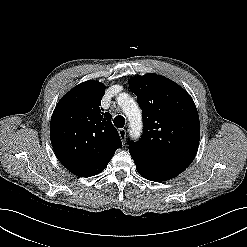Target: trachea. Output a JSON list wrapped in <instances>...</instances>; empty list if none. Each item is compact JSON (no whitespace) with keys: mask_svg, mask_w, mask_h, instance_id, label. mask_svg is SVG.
Instances as JSON below:
<instances>
[{"mask_svg":"<svg viewBox=\"0 0 247 247\" xmlns=\"http://www.w3.org/2000/svg\"><path fill=\"white\" fill-rule=\"evenodd\" d=\"M113 123L117 128H123L125 125V119L123 116L118 115L114 118Z\"/></svg>","mask_w":247,"mask_h":247,"instance_id":"obj_1","label":"trachea"}]
</instances>
